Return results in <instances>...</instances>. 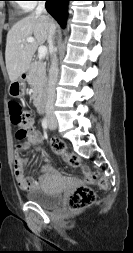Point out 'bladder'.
Here are the masks:
<instances>
[{
  "label": "bladder",
  "instance_id": "31cf9c89",
  "mask_svg": "<svg viewBox=\"0 0 133 253\" xmlns=\"http://www.w3.org/2000/svg\"><path fill=\"white\" fill-rule=\"evenodd\" d=\"M26 198L44 209H53L60 205L62 195L59 192L36 188L26 193Z\"/></svg>",
  "mask_w": 133,
  "mask_h": 253
}]
</instances>
